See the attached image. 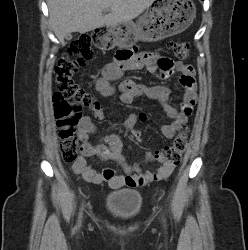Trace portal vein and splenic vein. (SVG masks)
<instances>
[{
	"mask_svg": "<svg viewBox=\"0 0 248 250\" xmlns=\"http://www.w3.org/2000/svg\"><path fill=\"white\" fill-rule=\"evenodd\" d=\"M109 10H104V13H107Z\"/></svg>",
	"mask_w": 248,
	"mask_h": 250,
	"instance_id": "18ae733b",
	"label": "portal vein and splenic vein"
}]
</instances>
